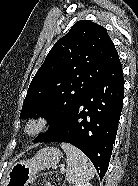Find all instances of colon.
Returning <instances> with one entry per match:
<instances>
[{
	"label": "colon",
	"mask_w": 138,
	"mask_h": 186,
	"mask_svg": "<svg viewBox=\"0 0 138 186\" xmlns=\"http://www.w3.org/2000/svg\"><path fill=\"white\" fill-rule=\"evenodd\" d=\"M33 186H66L63 175L58 172H43L38 175Z\"/></svg>",
	"instance_id": "obj_1"
}]
</instances>
